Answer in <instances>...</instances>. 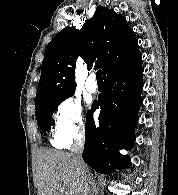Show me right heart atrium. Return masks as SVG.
<instances>
[{
    "mask_svg": "<svg viewBox=\"0 0 178 195\" xmlns=\"http://www.w3.org/2000/svg\"><path fill=\"white\" fill-rule=\"evenodd\" d=\"M84 133L85 121L80 101L74 97L64 99L55 112L54 144L65 147L81 139Z\"/></svg>",
    "mask_w": 178,
    "mask_h": 195,
    "instance_id": "1",
    "label": "right heart atrium"
}]
</instances>
